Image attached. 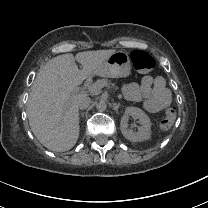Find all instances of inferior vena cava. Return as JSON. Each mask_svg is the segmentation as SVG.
<instances>
[{
  "instance_id": "602c4592",
  "label": "inferior vena cava",
  "mask_w": 208,
  "mask_h": 208,
  "mask_svg": "<svg viewBox=\"0 0 208 208\" xmlns=\"http://www.w3.org/2000/svg\"><path fill=\"white\" fill-rule=\"evenodd\" d=\"M90 103H91V100L87 96H80L78 98V107L81 110L88 108Z\"/></svg>"
}]
</instances>
